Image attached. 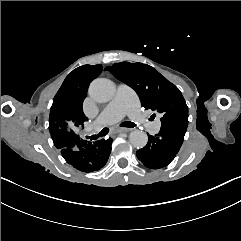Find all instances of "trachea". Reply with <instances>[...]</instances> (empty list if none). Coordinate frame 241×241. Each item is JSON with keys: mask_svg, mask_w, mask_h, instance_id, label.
I'll use <instances>...</instances> for the list:
<instances>
[{"mask_svg": "<svg viewBox=\"0 0 241 241\" xmlns=\"http://www.w3.org/2000/svg\"><path fill=\"white\" fill-rule=\"evenodd\" d=\"M122 126L133 128V127H136L137 124L136 123H132V122H124V123H122ZM108 132H109V129L108 128H104L103 130H101V132L98 135H93L90 138L92 140H95V139H98L99 137H103V136L107 135Z\"/></svg>", "mask_w": 241, "mask_h": 241, "instance_id": "1", "label": "trachea"}]
</instances>
